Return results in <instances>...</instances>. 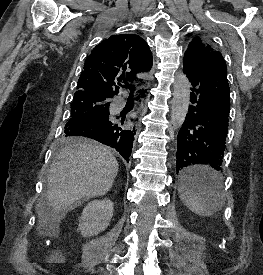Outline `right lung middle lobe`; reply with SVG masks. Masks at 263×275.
I'll return each instance as SVG.
<instances>
[{
	"label": "right lung middle lobe",
	"instance_id": "right-lung-middle-lobe-1",
	"mask_svg": "<svg viewBox=\"0 0 263 275\" xmlns=\"http://www.w3.org/2000/svg\"><path fill=\"white\" fill-rule=\"evenodd\" d=\"M109 105V99L97 95L81 94L74 96L70 119L65 127L85 117L109 115ZM73 142H75L74 136H69L65 133L62 134L59 140L61 145Z\"/></svg>",
	"mask_w": 263,
	"mask_h": 275
}]
</instances>
